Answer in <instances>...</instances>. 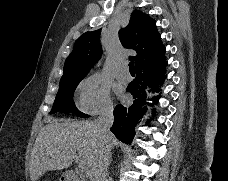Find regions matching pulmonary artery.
Returning <instances> with one entry per match:
<instances>
[{"instance_id": "pulmonary-artery-1", "label": "pulmonary artery", "mask_w": 228, "mask_h": 181, "mask_svg": "<svg viewBox=\"0 0 228 181\" xmlns=\"http://www.w3.org/2000/svg\"><path fill=\"white\" fill-rule=\"evenodd\" d=\"M117 79H129V74H117Z\"/></svg>"}]
</instances>
